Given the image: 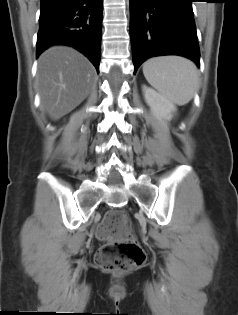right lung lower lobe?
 I'll list each match as a JSON object with an SVG mask.
<instances>
[{
    "mask_svg": "<svg viewBox=\"0 0 238 315\" xmlns=\"http://www.w3.org/2000/svg\"><path fill=\"white\" fill-rule=\"evenodd\" d=\"M103 0H41L37 57L53 44L82 52L99 72Z\"/></svg>",
    "mask_w": 238,
    "mask_h": 315,
    "instance_id": "1",
    "label": "right lung lower lobe"
}]
</instances>
